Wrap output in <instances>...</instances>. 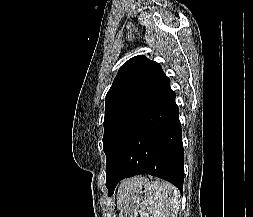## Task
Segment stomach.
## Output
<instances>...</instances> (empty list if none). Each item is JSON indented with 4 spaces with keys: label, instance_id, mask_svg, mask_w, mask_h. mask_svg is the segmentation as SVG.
Here are the masks:
<instances>
[{
    "label": "stomach",
    "instance_id": "obj_1",
    "mask_svg": "<svg viewBox=\"0 0 253 217\" xmlns=\"http://www.w3.org/2000/svg\"><path fill=\"white\" fill-rule=\"evenodd\" d=\"M141 193L138 187L127 198L118 201L117 207L120 211L118 217H138L144 205V197Z\"/></svg>",
    "mask_w": 253,
    "mask_h": 217
}]
</instances>
